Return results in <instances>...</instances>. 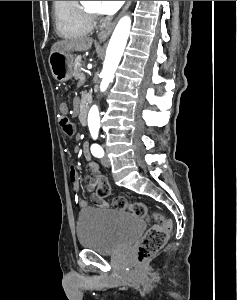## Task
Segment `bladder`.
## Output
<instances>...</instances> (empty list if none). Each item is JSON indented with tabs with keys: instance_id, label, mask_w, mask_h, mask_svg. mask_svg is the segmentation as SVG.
<instances>
[{
	"instance_id": "1",
	"label": "bladder",
	"mask_w": 237,
	"mask_h": 300,
	"mask_svg": "<svg viewBox=\"0 0 237 300\" xmlns=\"http://www.w3.org/2000/svg\"><path fill=\"white\" fill-rule=\"evenodd\" d=\"M143 229V220L132 213L113 209L87 210L78 218L76 236L82 248L111 255L133 244Z\"/></svg>"
}]
</instances>
